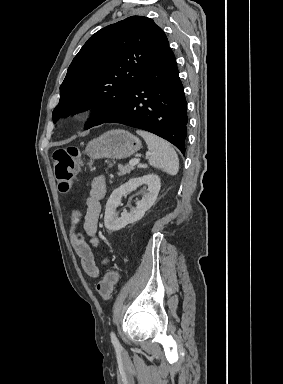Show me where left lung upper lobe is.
<instances>
[{
    "instance_id": "5c2ea615",
    "label": "left lung upper lobe",
    "mask_w": 283,
    "mask_h": 384,
    "mask_svg": "<svg viewBox=\"0 0 283 384\" xmlns=\"http://www.w3.org/2000/svg\"><path fill=\"white\" fill-rule=\"evenodd\" d=\"M168 47L163 30L147 17L131 16L102 28L70 64L53 122L93 108L85 129L100 124L124 105L138 80Z\"/></svg>"
}]
</instances>
